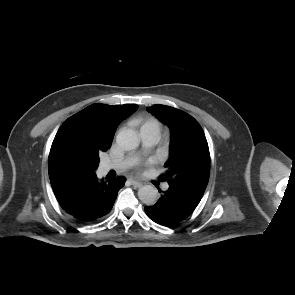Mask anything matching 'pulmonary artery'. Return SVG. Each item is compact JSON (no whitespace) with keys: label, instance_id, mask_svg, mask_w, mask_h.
<instances>
[{"label":"pulmonary artery","instance_id":"obj_1","mask_svg":"<svg viewBox=\"0 0 295 295\" xmlns=\"http://www.w3.org/2000/svg\"><path fill=\"white\" fill-rule=\"evenodd\" d=\"M140 136H141L142 143L145 147L153 146L158 140V137L154 133L146 131V130H141ZM133 163H134V157L127 156L121 160L105 162L102 164L101 168L104 172H108L112 169L121 171L130 167ZM167 187L168 185H164V188H167Z\"/></svg>","mask_w":295,"mask_h":295}]
</instances>
